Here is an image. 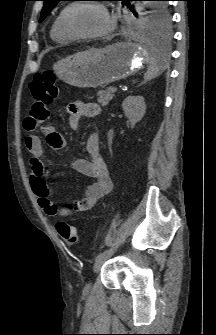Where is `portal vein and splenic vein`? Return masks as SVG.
I'll list each match as a JSON object with an SVG mask.
<instances>
[{
	"mask_svg": "<svg viewBox=\"0 0 216 335\" xmlns=\"http://www.w3.org/2000/svg\"><path fill=\"white\" fill-rule=\"evenodd\" d=\"M117 90H118L117 87H113V88H112V93H116Z\"/></svg>",
	"mask_w": 216,
	"mask_h": 335,
	"instance_id": "1",
	"label": "portal vein and splenic vein"
}]
</instances>
